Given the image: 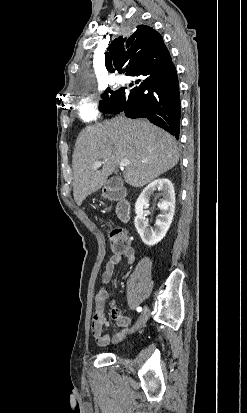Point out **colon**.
<instances>
[{"instance_id": "5ec220e1", "label": "colon", "mask_w": 247, "mask_h": 413, "mask_svg": "<svg viewBox=\"0 0 247 413\" xmlns=\"http://www.w3.org/2000/svg\"><path fill=\"white\" fill-rule=\"evenodd\" d=\"M108 236L110 241L115 245L116 250L123 251L126 248L128 243V234L122 226L112 224V228Z\"/></svg>"}]
</instances>
